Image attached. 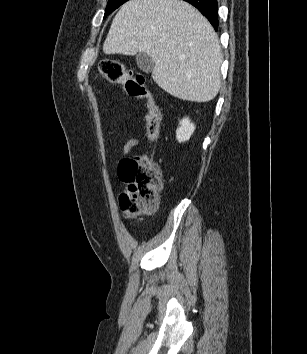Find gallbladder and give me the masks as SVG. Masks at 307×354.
I'll use <instances>...</instances> for the list:
<instances>
[{"instance_id": "bac80fb5", "label": "gallbladder", "mask_w": 307, "mask_h": 354, "mask_svg": "<svg viewBox=\"0 0 307 354\" xmlns=\"http://www.w3.org/2000/svg\"><path fill=\"white\" fill-rule=\"evenodd\" d=\"M136 63L140 70L147 73L151 72L154 67V61L148 54L143 52L136 55Z\"/></svg>"}]
</instances>
